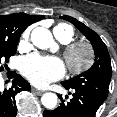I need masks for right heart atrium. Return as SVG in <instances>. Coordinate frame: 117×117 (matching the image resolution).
<instances>
[{
	"mask_svg": "<svg viewBox=\"0 0 117 117\" xmlns=\"http://www.w3.org/2000/svg\"><path fill=\"white\" fill-rule=\"evenodd\" d=\"M31 28H28L24 31L21 40H20V46H25L28 44L29 36H30Z\"/></svg>",
	"mask_w": 117,
	"mask_h": 117,
	"instance_id": "right-heart-atrium-1",
	"label": "right heart atrium"
}]
</instances>
